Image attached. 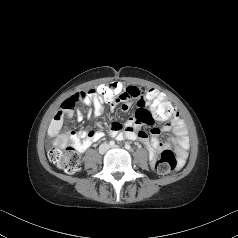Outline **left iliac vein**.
<instances>
[{
    "mask_svg": "<svg viewBox=\"0 0 238 238\" xmlns=\"http://www.w3.org/2000/svg\"><path fill=\"white\" fill-rule=\"evenodd\" d=\"M119 146H117V145H115V146H113L112 148H118Z\"/></svg>",
    "mask_w": 238,
    "mask_h": 238,
    "instance_id": "1",
    "label": "left iliac vein"
}]
</instances>
